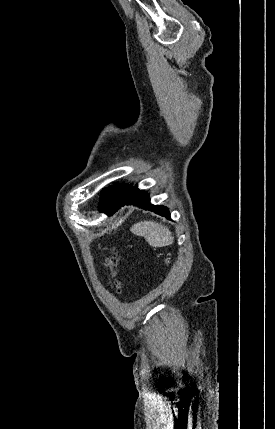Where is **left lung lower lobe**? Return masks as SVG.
I'll return each mask as SVG.
<instances>
[{"instance_id":"0a47b994","label":"left lung lower lobe","mask_w":275,"mask_h":429,"mask_svg":"<svg viewBox=\"0 0 275 429\" xmlns=\"http://www.w3.org/2000/svg\"><path fill=\"white\" fill-rule=\"evenodd\" d=\"M125 205L137 206L170 219V214L166 207L150 204L149 194L146 191H141L136 186H132L128 191L120 207Z\"/></svg>"}]
</instances>
